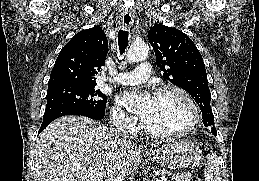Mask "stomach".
<instances>
[{
  "instance_id": "0dacf381",
  "label": "stomach",
  "mask_w": 259,
  "mask_h": 181,
  "mask_svg": "<svg viewBox=\"0 0 259 181\" xmlns=\"http://www.w3.org/2000/svg\"><path fill=\"white\" fill-rule=\"evenodd\" d=\"M199 146L191 140L169 139L145 155L172 169L187 168L200 156Z\"/></svg>"
}]
</instances>
